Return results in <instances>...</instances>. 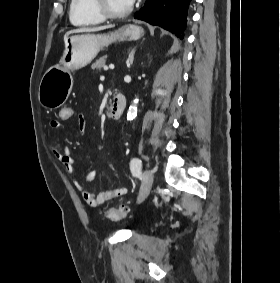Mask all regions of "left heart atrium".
I'll list each match as a JSON object with an SVG mask.
<instances>
[{
	"instance_id": "1",
	"label": "left heart atrium",
	"mask_w": 280,
	"mask_h": 283,
	"mask_svg": "<svg viewBox=\"0 0 280 283\" xmlns=\"http://www.w3.org/2000/svg\"><path fill=\"white\" fill-rule=\"evenodd\" d=\"M130 4H132L135 0H128Z\"/></svg>"
}]
</instances>
